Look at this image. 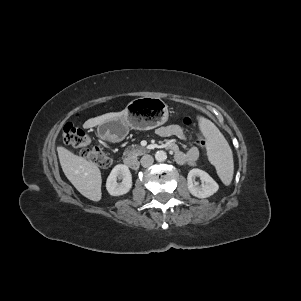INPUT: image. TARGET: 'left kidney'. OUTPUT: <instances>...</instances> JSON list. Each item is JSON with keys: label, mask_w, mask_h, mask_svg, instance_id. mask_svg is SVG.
<instances>
[{"label": "left kidney", "mask_w": 301, "mask_h": 301, "mask_svg": "<svg viewBox=\"0 0 301 301\" xmlns=\"http://www.w3.org/2000/svg\"><path fill=\"white\" fill-rule=\"evenodd\" d=\"M199 177L202 181V185L198 186L194 183V178ZM188 190L197 198H207L216 193L219 189L216 181L205 171L194 168L189 171L187 177Z\"/></svg>", "instance_id": "left-kidney-1"}]
</instances>
